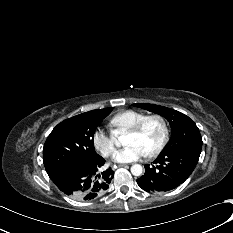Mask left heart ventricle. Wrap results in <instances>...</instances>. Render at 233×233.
<instances>
[{
    "mask_svg": "<svg viewBox=\"0 0 233 233\" xmlns=\"http://www.w3.org/2000/svg\"><path fill=\"white\" fill-rule=\"evenodd\" d=\"M162 137V127L158 120L148 121L143 129L137 134L127 133L125 144L135 143L146 153H149L160 141Z\"/></svg>",
    "mask_w": 233,
    "mask_h": 233,
    "instance_id": "left-heart-ventricle-1",
    "label": "left heart ventricle"
}]
</instances>
